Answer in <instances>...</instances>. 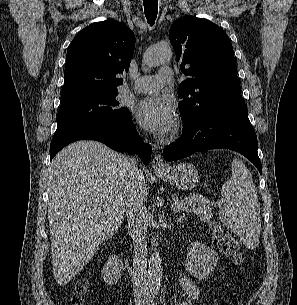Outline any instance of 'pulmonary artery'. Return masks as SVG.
Returning a JSON list of instances; mask_svg holds the SVG:
<instances>
[{
	"instance_id": "pulmonary-artery-1",
	"label": "pulmonary artery",
	"mask_w": 297,
	"mask_h": 305,
	"mask_svg": "<svg viewBox=\"0 0 297 305\" xmlns=\"http://www.w3.org/2000/svg\"><path fill=\"white\" fill-rule=\"evenodd\" d=\"M173 80L172 70L162 68L156 75L138 76L135 78L133 90L139 93H150L161 89Z\"/></svg>"
}]
</instances>
